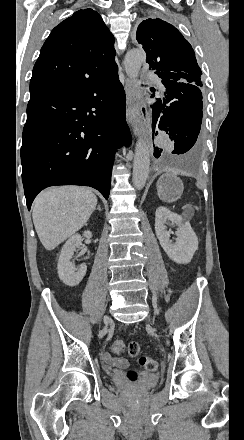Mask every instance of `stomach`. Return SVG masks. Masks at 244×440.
<instances>
[{
	"instance_id": "0dacf381",
	"label": "stomach",
	"mask_w": 244,
	"mask_h": 440,
	"mask_svg": "<svg viewBox=\"0 0 244 440\" xmlns=\"http://www.w3.org/2000/svg\"><path fill=\"white\" fill-rule=\"evenodd\" d=\"M184 186L182 180L173 172H166L157 182V192L162 202H177L183 194Z\"/></svg>"
}]
</instances>
